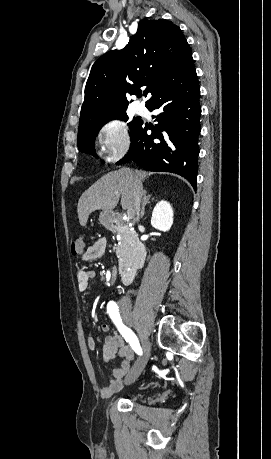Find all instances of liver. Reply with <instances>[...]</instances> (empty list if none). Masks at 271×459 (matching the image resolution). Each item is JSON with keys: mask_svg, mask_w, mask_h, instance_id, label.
Here are the masks:
<instances>
[{"mask_svg": "<svg viewBox=\"0 0 271 459\" xmlns=\"http://www.w3.org/2000/svg\"><path fill=\"white\" fill-rule=\"evenodd\" d=\"M147 176V172H141V170H134L133 172L128 168H121L117 172H109V174L102 176L98 182H95L89 190L82 194L78 202L77 212L80 226H86L90 214L95 210L112 212L119 202L120 194L123 210H132V216L136 186L142 192V182L146 180Z\"/></svg>", "mask_w": 271, "mask_h": 459, "instance_id": "liver-1", "label": "liver"}]
</instances>
